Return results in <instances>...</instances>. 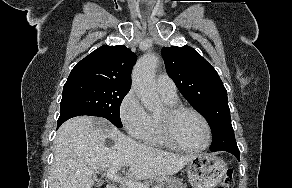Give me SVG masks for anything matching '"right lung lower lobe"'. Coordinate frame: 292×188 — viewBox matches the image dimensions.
Segmentation results:
<instances>
[{
  "instance_id": "right-lung-lower-lobe-1",
  "label": "right lung lower lobe",
  "mask_w": 292,
  "mask_h": 188,
  "mask_svg": "<svg viewBox=\"0 0 292 188\" xmlns=\"http://www.w3.org/2000/svg\"><path fill=\"white\" fill-rule=\"evenodd\" d=\"M80 115H83V114L78 113V112H67V113L60 114V117H59L58 123H57V128L66 120H68L72 117H75V116H80Z\"/></svg>"
}]
</instances>
